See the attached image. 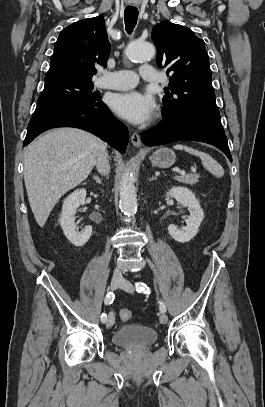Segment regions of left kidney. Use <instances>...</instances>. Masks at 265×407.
Masks as SVG:
<instances>
[{
    "instance_id": "left-kidney-1",
    "label": "left kidney",
    "mask_w": 265,
    "mask_h": 407,
    "mask_svg": "<svg viewBox=\"0 0 265 407\" xmlns=\"http://www.w3.org/2000/svg\"><path fill=\"white\" fill-rule=\"evenodd\" d=\"M166 196H171L180 204L188 207L190 216L186 220V226L179 229L171 224L168 226V232L177 242H189L196 236L199 230V226L204 218L203 210L192 191L185 187H173L167 192Z\"/></svg>"
}]
</instances>
